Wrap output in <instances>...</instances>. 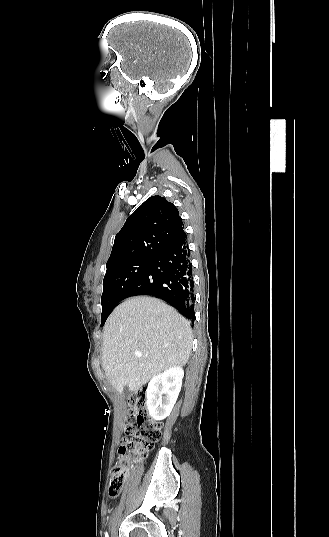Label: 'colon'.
I'll use <instances>...</instances> for the list:
<instances>
[{
	"mask_svg": "<svg viewBox=\"0 0 329 537\" xmlns=\"http://www.w3.org/2000/svg\"><path fill=\"white\" fill-rule=\"evenodd\" d=\"M147 402L144 390H139L128 398L129 414L118 448L120 457L112 469L109 482V495L113 498L121 493L125 485L128 455L152 449L161 438L162 424L148 415Z\"/></svg>",
	"mask_w": 329,
	"mask_h": 537,
	"instance_id": "5ec220e1",
	"label": "colon"
}]
</instances>
